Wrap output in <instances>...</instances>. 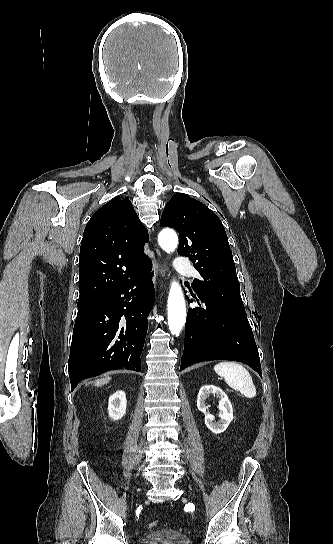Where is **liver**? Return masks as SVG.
<instances>
[{
	"label": "liver",
	"instance_id": "liver-1",
	"mask_svg": "<svg viewBox=\"0 0 333 544\" xmlns=\"http://www.w3.org/2000/svg\"><path fill=\"white\" fill-rule=\"evenodd\" d=\"M110 379H111L110 377H105V378L96 380V381L94 382V385H95V386H102L103 384L108 383V382L110 381Z\"/></svg>",
	"mask_w": 333,
	"mask_h": 544
}]
</instances>
